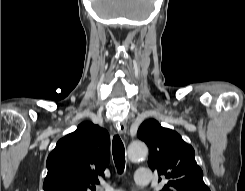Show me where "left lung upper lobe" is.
<instances>
[{
	"label": "left lung upper lobe",
	"mask_w": 245,
	"mask_h": 191,
	"mask_svg": "<svg viewBox=\"0 0 245 191\" xmlns=\"http://www.w3.org/2000/svg\"><path fill=\"white\" fill-rule=\"evenodd\" d=\"M137 136L149 147V167L167 179L161 191H210L193 147L180 134L150 119L141 124Z\"/></svg>",
	"instance_id": "left-lung-upper-lobe-1"
}]
</instances>
